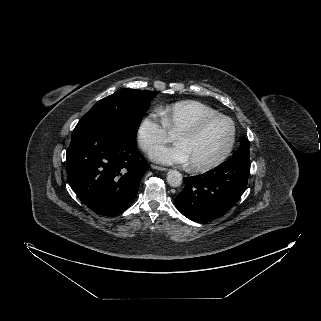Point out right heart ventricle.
<instances>
[{"mask_svg":"<svg viewBox=\"0 0 321 321\" xmlns=\"http://www.w3.org/2000/svg\"><path fill=\"white\" fill-rule=\"evenodd\" d=\"M216 113L218 112L214 108L197 100L179 101L160 110L163 122L170 132H178L199 118Z\"/></svg>","mask_w":321,"mask_h":321,"instance_id":"right-heart-ventricle-1","label":"right heart ventricle"}]
</instances>
